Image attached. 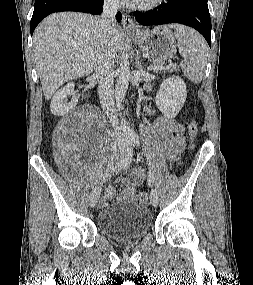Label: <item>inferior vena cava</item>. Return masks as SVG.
<instances>
[{
  "label": "inferior vena cava",
  "instance_id": "1",
  "mask_svg": "<svg viewBox=\"0 0 253 285\" xmlns=\"http://www.w3.org/2000/svg\"><path fill=\"white\" fill-rule=\"evenodd\" d=\"M119 8V0H104L103 12L97 18L100 46L95 63V72L98 78V93L103 111L115 123L114 104V58L115 48L111 37L114 18Z\"/></svg>",
  "mask_w": 253,
  "mask_h": 285
}]
</instances>
